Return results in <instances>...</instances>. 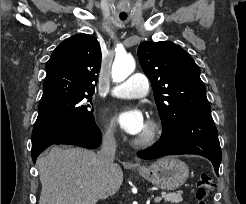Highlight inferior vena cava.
I'll use <instances>...</instances> for the list:
<instances>
[{"label":"inferior vena cava","instance_id":"inferior-vena-cava-1","mask_svg":"<svg viewBox=\"0 0 246 204\" xmlns=\"http://www.w3.org/2000/svg\"><path fill=\"white\" fill-rule=\"evenodd\" d=\"M116 141L112 129H108L102 137L101 149L97 153L99 161L106 175L114 169Z\"/></svg>","mask_w":246,"mask_h":204}]
</instances>
